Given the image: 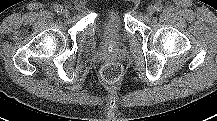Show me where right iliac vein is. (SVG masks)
<instances>
[{"label": "right iliac vein", "mask_w": 217, "mask_h": 121, "mask_svg": "<svg viewBox=\"0 0 217 121\" xmlns=\"http://www.w3.org/2000/svg\"><path fill=\"white\" fill-rule=\"evenodd\" d=\"M62 14L65 16V17H68L70 15V11L68 9H64Z\"/></svg>", "instance_id": "1"}]
</instances>
